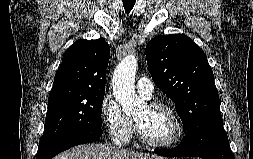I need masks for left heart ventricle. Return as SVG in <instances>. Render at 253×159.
<instances>
[{
	"instance_id": "left-heart-ventricle-1",
	"label": "left heart ventricle",
	"mask_w": 253,
	"mask_h": 159,
	"mask_svg": "<svg viewBox=\"0 0 253 159\" xmlns=\"http://www.w3.org/2000/svg\"><path fill=\"white\" fill-rule=\"evenodd\" d=\"M134 119L139 124L143 134L152 141H167L176 132L173 117L164 109L149 108L145 105Z\"/></svg>"
}]
</instances>
